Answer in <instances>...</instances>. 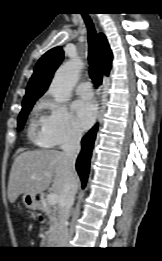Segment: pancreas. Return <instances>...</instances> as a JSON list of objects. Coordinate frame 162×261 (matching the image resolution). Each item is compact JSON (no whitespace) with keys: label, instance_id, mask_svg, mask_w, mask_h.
Here are the masks:
<instances>
[{"label":"pancreas","instance_id":"cf45deb5","mask_svg":"<svg viewBox=\"0 0 162 261\" xmlns=\"http://www.w3.org/2000/svg\"><path fill=\"white\" fill-rule=\"evenodd\" d=\"M42 209L45 212V214L48 216V218L50 219V226L48 228V230L45 232V237L43 239V241L45 240H53L58 232V221L56 218V212H53L51 209V206L48 204V202L44 203L42 205Z\"/></svg>","mask_w":162,"mask_h":261}]
</instances>
